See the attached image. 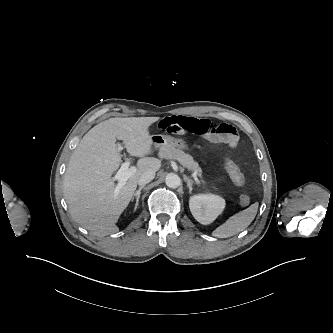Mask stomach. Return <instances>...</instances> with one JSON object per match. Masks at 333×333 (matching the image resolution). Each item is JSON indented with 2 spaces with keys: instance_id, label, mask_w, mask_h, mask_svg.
Returning a JSON list of instances; mask_svg holds the SVG:
<instances>
[{
  "instance_id": "obj_1",
  "label": "stomach",
  "mask_w": 333,
  "mask_h": 333,
  "mask_svg": "<svg viewBox=\"0 0 333 333\" xmlns=\"http://www.w3.org/2000/svg\"><path fill=\"white\" fill-rule=\"evenodd\" d=\"M155 147L161 149L168 146H174L178 149L186 147L185 142L182 139H175L170 135H155L152 137Z\"/></svg>"
}]
</instances>
